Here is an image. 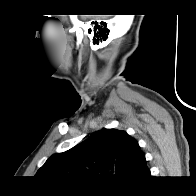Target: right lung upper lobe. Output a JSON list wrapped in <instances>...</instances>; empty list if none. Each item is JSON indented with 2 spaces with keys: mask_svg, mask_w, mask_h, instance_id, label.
<instances>
[{
  "mask_svg": "<svg viewBox=\"0 0 196 196\" xmlns=\"http://www.w3.org/2000/svg\"><path fill=\"white\" fill-rule=\"evenodd\" d=\"M149 174L144 153L133 137L123 130L103 129L52 155L35 177L54 185H133Z\"/></svg>",
  "mask_w": 196,
  "mask_h": 196,
  "instance_id": "cb5924a9",
  "label": "right lung upper lobe"
}]
</instances>
